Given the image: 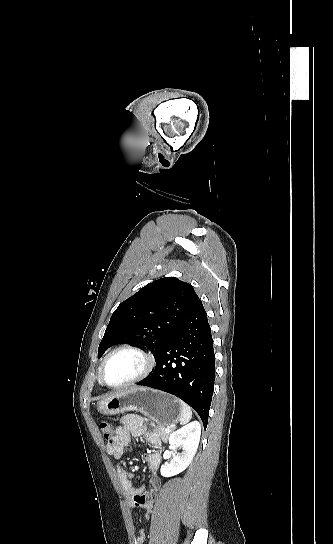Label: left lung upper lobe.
Wrapping results in <instances>:
<instances>
[{"label": "left lung upper lobe", "mask_w": 333, "mask_h": 544, "mask_svg": "<svg viewBox=\"0 0 333 544\" xmlns=\"http://www.w3.org/2000/svg\"><path fill=\"white\" fill-rule=\"evenodd\" d=\"M199 300L192 285L164 277L141 288L114 311L98 348V358L120 342L146 346L155 360Z\"/></svg>", "instance_id": "1"}]
</instances>
